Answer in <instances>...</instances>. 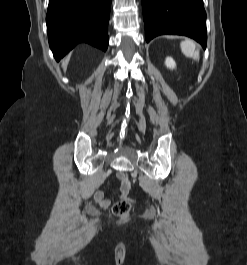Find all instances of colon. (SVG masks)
<instances>
[{
	"label": "colon",
	"mask_w": 247,
	"mask_h": 265,
	"mask_svg": "<svg viewBox=\"0 0 247 265\" xmlns=\"http://www.w3.org/2000/svg\"><path fill=\"white\" fill-rule=\"evenodd\" d=\"M118 177L121 182V189L124 191H129L131 187L129 179L122 174L118 175ZM130 209L131 203L128 200L121 199L113 205L112 213L118 218L125 219L128 216Z\"/></svg>",
	"instance_id": "1"
}]
</instances>
